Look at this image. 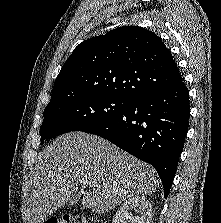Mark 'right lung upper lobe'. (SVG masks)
<instances>
[{"instance_id":"1","label":"right lung upper lobe","mask_w":221,"mask_h":223,"mask_svg":"<svg viewBox=\"0 0 221 223\" xmlns=\"http://www.w3.org/2000/svg\"><path fill=\"white\" fill-rule=\"evenodd\" d=\"M180 81L171 52L155 33L124 26L74 49L55 80L50 103L80 95L134 100Z\"/></svg>"}]
</instances>
